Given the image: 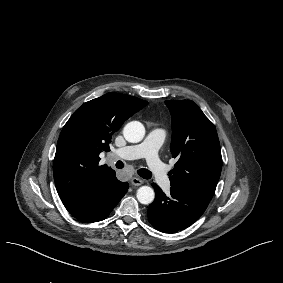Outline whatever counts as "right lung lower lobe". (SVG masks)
<instances>
[{
	"label": "right lung lower lobe",
	"instance_id": "right-lung-lower-lobe-1",
	"mask_svg": "<svg viewBox=\"0 0 283 283\" xmlns=\"http://www.w3.org/2000/svg\"><path fill=\"white\" fill-rule=\"evenodd\" d=\"M128 187V183L120 182L114 173L106 186L100 187L87 198L65 207L72 216L83 222L101 221L108 217Z\"/></svg>",
	"mask_w": 283,
	"mask_h": 283
}]
</instances>
